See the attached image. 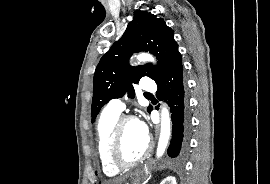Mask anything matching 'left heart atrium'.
Instances as JSON below:
<instances>
[{"mask_svg":"<svg viewBox=\"0 0 270 184\" xmlns=\"http://www.w3.org/2000/svg\"><path fill=\"white\" fill-rule=\"evenodd\" d=\"M138 124H139L140 129L143 132V134L148 137V127H147L146 123L143 121H138Z\"/></svg>","mask_w":270,"mask_h":184,"instance_id":"left-heart-atrium-1","label":"left heart atrium"}]
</instances>
